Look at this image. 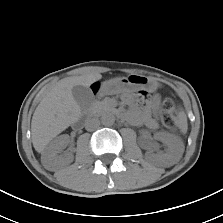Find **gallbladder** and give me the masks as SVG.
<instances>
[{"mask_svg": "<svg viewBox=\"0 0 223 223\" xmlns=\"http://www.w3.org/2000/svg\"><path fill=\"white\" fill-rule=\"evenodd\" d=\"M72 95L81 108H86L93 100V93L90 88L77 85L72 88Z\"/></svg>", "mask_w": 223, "mask_h": 223, "instance_id": "gallbladder-1", "label": "gallbladder"}]
</instances>
